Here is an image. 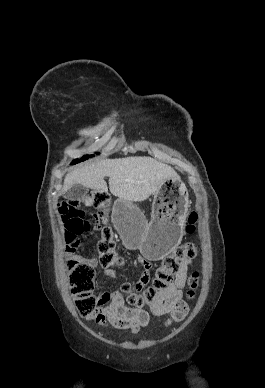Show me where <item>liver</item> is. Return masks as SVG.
Masks as SVG:
<instances>
[{
  "mask_svg": "<svg viewBox=\"0 0 265 388\" xmlns=\"http://www.w3.org/2000/svg\"><path fill=\"white\" fill-rule=\"evenodd\" d=\"M105 176H109L111 194L129 202H144L156 190H160L166 180H179L173 168L153 158H105L94 164H85L67 174L63 192L70 190L74 184L108 192Z\"/></svg>",
  "mask_w": 265,
  "mask_h": 388,
  "instance_id": "1",
  "label": "liver"
}]
</instances>
